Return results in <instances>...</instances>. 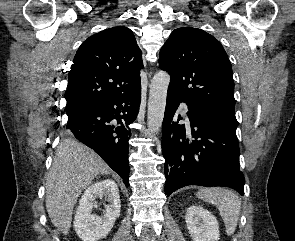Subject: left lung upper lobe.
<instances>
[{"mask_svg":"<svg viewBox=\"0 0 295 241\" xmlns=\"http://www.w3.org/2000/svg\"><path fill=\"white\" fill-rule=\"evenodd\" d=\"M159 66L171 75L168 91L188 108L237 128L232 66L216 38L197 28L175 29L160 51Z\"/></svg>","mask_w":295,"mask_h":241,"instance_id":"obj_1","label":"left lung upper lobe"}]
</instances>
